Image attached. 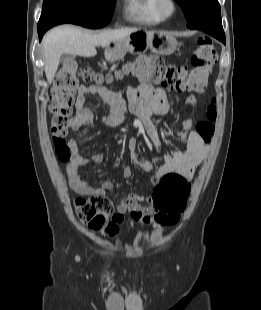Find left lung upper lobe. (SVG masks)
Segmentation results:
<instances>
[{
	"mask_svg": "<svg viewBox=\"0 0 261 310\" xmlns=\"http://www.w3.org/2000/svg\"><path fill=\"white\" fill-rule=\"evenodd\" d=\"M182 8L188 24L213 20L221 24L218 0H175ZM222 25V24H221Z\"/></svg>",
	"mask_w": 261,
	"mask_h": 310,
	"instance_id": "5c2ea615",
	"label": "left lung upper lobe"
}]
</instances>
